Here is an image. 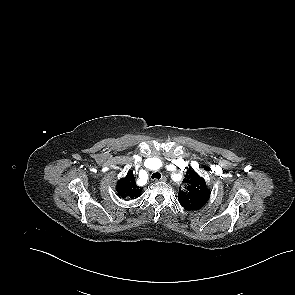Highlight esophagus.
Instances as JSON below:
<instances>
[{
    "label": "esophagus",
    "mask_w": 295,
    "mask_h": 295,
    "mask_svg": "<svg viewBox=\"0 0 295 295\" xmlns=\"http://www.w3.org/2000/svg\"><path fill=\"white\" fill-rule=\"evenodd\" d=\"M156 181L165 182V181H166V177H165V176H162V177L160 178V180H156Z\"/></svg>",
    "instance_id": "34e87169"
}]
</instances>
